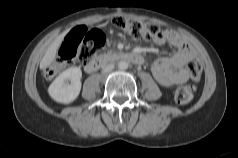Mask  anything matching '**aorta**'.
<instances>
[{"label": "aorta", "instance_id": "1", "mask_svg": "<svg viewBox=\"0 0 238 158\" xmlns=\"http://www.w3.org/2000/svg\"><path fill=\"white\" fill-rule=\"evenodd\" d=\"M118 68L121 70H126L128 68V63L126 61H119Z\"/></svg>", "mask_w": 238, "mask_h": 158}]
</instances>
